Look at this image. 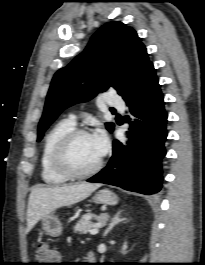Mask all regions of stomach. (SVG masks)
Returning <instances> with one entry per match:
<instances>
[{"label": "stomach", "mask_w": 205, "mask_h": 265, "mask_svg": "<svg viewBox=\"0 0 205 265\" xmlns=\"http://www.w3.org/2000/svg\"><path fill=\"white\" fill-rule=\"evenodd\" d=\"M93 201L98 204L115 205L118 202L117 196L108 189H102L93 196ZM42 228L46 234L58 237L62 233V223L54 214H48L42 218Z\"/></svg>", "instance_id": "1"}]
</instances>
